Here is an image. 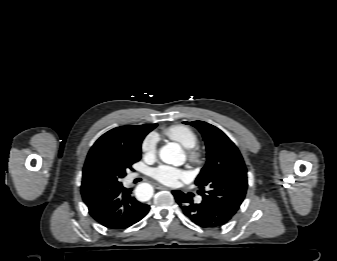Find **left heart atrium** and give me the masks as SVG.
Wrapping results in <instances>:
<instances>
[{
	"instance_id": "1",
	"label": "left heart atrium",
	"mask_w": 337,
	"mask_h": 261,
	"mask_svg": "<svg viewBox=\"0 0 337 261\" xmlns=\"http://www.w3.org/2000/svg\"><path fill=\"white\" fill-rule=\"evenodd\" d=\"M151 175L157 181L170 186L177 184L179 180L187 178L185 171L168 165H160L154 168L151 171Z\"/></svg>"
}]
</instances>
